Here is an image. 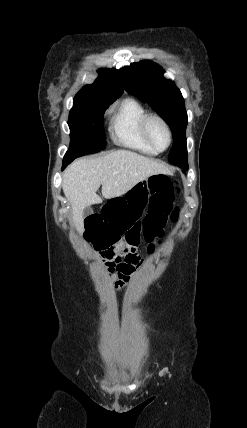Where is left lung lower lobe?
<instances>
[{
  "label": "left lung lower lobe",
  "instance_id": "obj_1",
  "mask_svg": "<svg viewBox=\"0 0 247 428\" xmlns=\"http://www.w3.org/2000/svg\"><path fill=\"white\" fill-rule=\"evenodd\" d=\"M176 165L178 167L182 168L184 171L188 170V164L177 163Z\"/></svg>",
  "mask_w": 247,
  "mask_h": 428
}]
</instances>
